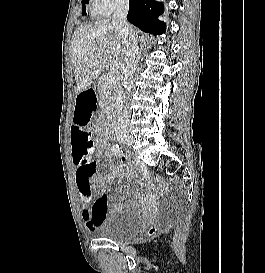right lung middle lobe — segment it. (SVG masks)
<instances>
[{
	"label": "right lung middle lobe",
	"instance_id": "dd1d6c3e",
	"mask_svg": "<svg viewBox=\"0 0 265 273\" xmlns=\"http://www.w3.org/2000/svg\"><path fill=\"white\" fill-rule=\"evenodd\" d=\"M89 0H82V4H83V10H82V13L85 14V4H88Z\"/></svg>",
	"mask_w": 265,
	"mask_h": 273
}]
</instances>
